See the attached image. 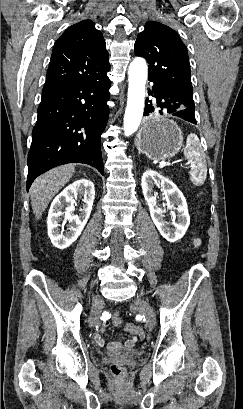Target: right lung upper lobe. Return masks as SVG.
I'll return each instance as SVG.
<instances>
[{"label": "right lung upper lobe", "mask_w": 243, "mask_h": 409, "mask_svg": "<svg viewBox=\"0 0 243 409\" xmlns=\"http://www.w3.org/2000/svg\"><path fill=\"white\" fill-rule=\"evenodd\" d=\"M110 69L102 33L91 20L70 26L56 41L45 86L85 82Z\"/></svg>", "instance_id": "cb5924a9"}]
</instances>
